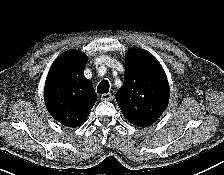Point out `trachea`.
Segmentation results:
<instances>
[{"label":"trachea","mask_w":224,"mask_h":175,"mask_svg":"<svg viewBox=\"0 0 224 175\" xmlns=\"http://www.w3.org/2000/svg\"><path fill=\"white\" fill-rule=\"evenodd\" d=\"M97 92L100 94L108 93L109 92V82L107 80H102L97 87Z\"/></svg>","instance_id":"trachea-1"}]
</instances>
